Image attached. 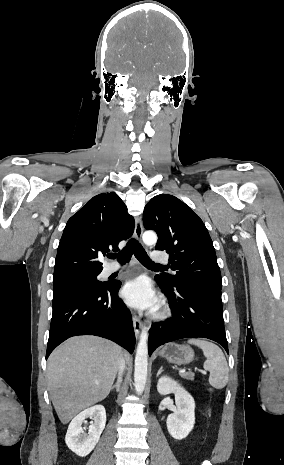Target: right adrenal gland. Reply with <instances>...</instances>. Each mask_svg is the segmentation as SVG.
Returning <instances> with one entry per match:
<instances>
[{
  "mask_svg": "<svg viewBox=\"0 0 284 465\" xmlns=\"http://www.w3.org/2000/svg\"><path fill=\"white\" fill-rule=\"evenodd\" d=\"M121 383H122V377H121V375H119L118 381H117L116 385H113V387H111V391H114V389H116L117 393H119Z\"/></svg>",
  "mask_w": 284,
  "mask_h": 465,
  "instance_id": "1",
  "label": "right adrenal gland"
}]
</instances>
